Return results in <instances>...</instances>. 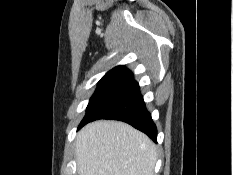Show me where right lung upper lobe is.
Listing matches in <instances>:
<instances>
[{"label":"right lung upper lobe","instance_id":"1","mask_svg":"<svg viewBox=\"0 0 233 175\" xmlns=\"http://www.w3.org/2000/svg\"><path fill=\"white\" fill-rule=\"evenodd\" d=\"M116 77V78H130L133 79L132 73L124 66H118L106 73L103 78Z\"/></svg>","mask_w":233,"mask_h":175}]
</instances>
